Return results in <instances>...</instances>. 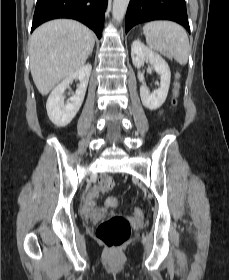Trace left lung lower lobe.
I'll list each match as a JSON object with an SVG mask.
<instances>
[{
	"mask_svg": "<svg viewBox=\"0 0 229 280\" xmlns=\"http://www.w3.org/2000/svg\"><path fill=\"white\" fill-rule=\"evenodd\" d=\"M152 20H172L190 32L185 0H130L126 13V33L133 26Z\"/></svg>",
	"mask_w": 229,
	"mask_h": 280,
	"instance_id": "left-lung-lower-lobe-1",
	"label": "left lung lower lobe"
}]
</instances>
